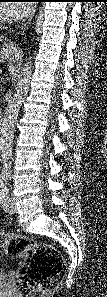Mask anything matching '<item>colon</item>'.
<instances>
[{
  "instance_id": "colon-1",
  "label": "colon",
  "mask_w": 107,
  "mask_h": 297,
  "mask_svg": "<svg viewBox=\"0 0 107 297\" xmlns=\"http://www.w3.org/2000/svg\"><path fill=\"white\" fill-rule=\"evenodd\" d=\"M0 246L11 257L23 260L17 279L25 297H42L52 292L63 276L62 256L51 245L11 233L0 234Z\"/></svg>"
}]
</instances>
